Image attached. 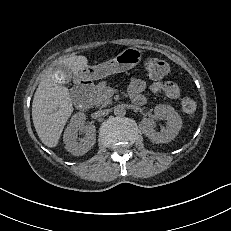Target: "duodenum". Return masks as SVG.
<instances>
[{
    "instance_id": "410a0bca",
    "label": "duodenum",
    "mask_w": 231,
    "mask_h": 231,
    "mask_svg": "<svg viewBox=\"0 0 231 231\" xmlns=\"http://www.w3.org/2000/svg\"><path fill=\"white\" fill-rule=\"evenodd\" d=\"M79 105L82 110H86L90 106V98L94 91V84L90 80H81L78 83ZM142 102H138L141 104Z\"/></svg>"
}]
</instances>
